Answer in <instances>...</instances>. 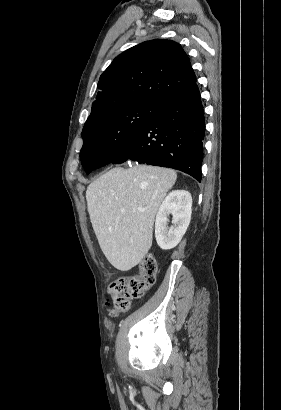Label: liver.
<instances>
[{"mask_svg": "<svg viewBox=\"0 0 281 410\" xmlns=\"http://www.w3.org/2000/svg\"><path fill=\"white\" fill-rule=\"evenodd\" d=\"M176 179L174 170L137 164L113 168L89 184L86 201L92 227L116 269H132L149 251L155 215Z\"/></svg>", "mask_w": 281, "mask_h": 410, "instance_id": "obj_1", "label": "liver"}]
</instances>
